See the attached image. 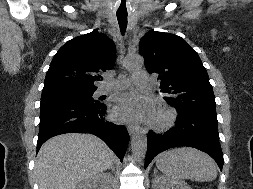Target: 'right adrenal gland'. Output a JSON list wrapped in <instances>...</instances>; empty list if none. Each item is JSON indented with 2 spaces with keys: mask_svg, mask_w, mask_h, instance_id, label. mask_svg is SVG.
<instances>
[{
  "mask_svg": "<svg viewBox=\"0 0 253 189\" xmlns=\"http://www.w3.org/2000/svg\"><path fill=\"white\" fill-rule=\"evenodd\" d=\"M110 169H111L112 171H114V168H113V167H111Z\"/></svg>",
  "mask_w": 253,
  "mask_h": 189,
  "instance_id": "1",
  "label": "right adrenal gland"
}]
</instances>
